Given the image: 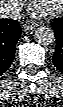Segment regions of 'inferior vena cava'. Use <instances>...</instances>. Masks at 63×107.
I'll list each match as a JSON object with an SVG mask.
<instances>
[{
  "mask_svg": "<svg viewBox=\"0 0 63 107\" xmlns=\"http://www.w3.org/2000/svg\"><path fill=\"white\" fill-rule=\"evenodd\" d=\"M22 3L18 0L1 1L0 14L2 18L20 19Z\"/></svg>",
  "mask_w": 63,
  "mask_h": 107,
  "instance_id": "1",
  "label": "inferior vena cava"
}]
</instances>
